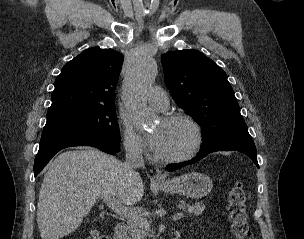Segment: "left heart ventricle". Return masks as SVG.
Wrapping results in <instances>:
<instances>
[{"label": "left heart ventricle", "instance_id": "b2bd125f", "mask_svg": "<svg viewBox=\"0 0 304 239\" xmlns=\"http://www.w3.org/2000/svg\"><path fill=\"white\" fill-rule=\"evenodd\" d=\"M160 133L161 143L157 153L160 155H178L185 152L192 144L193 131L184 122L161 121L154 129Z\"/></svg>", "mask_w": 304, "mask_h": 239}]
</instances>
